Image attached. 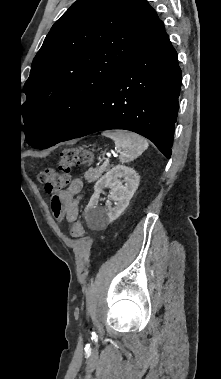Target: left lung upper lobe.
<instances>
[{"label": "left lung upper lobe", "instance_id": "5c2ea615", "mask_svg": "<svg viewBox=\"0 0 221 379\" xmlns=\"http://www.w3.org/2000/svg\"><path fill=\"white\" fill-rule=\"evenodd\" d=\"M159 22L145 0H77L52 26L24 85L27 142L59 143Z\"/></svg>", "mask_w": 221, "mask_h": 379}]
</instances>
